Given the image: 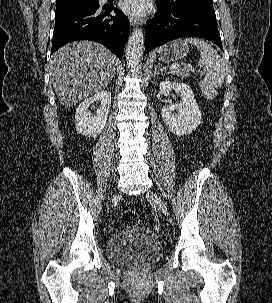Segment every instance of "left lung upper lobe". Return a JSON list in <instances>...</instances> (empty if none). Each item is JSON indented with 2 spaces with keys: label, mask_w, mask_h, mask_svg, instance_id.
<instances>
[{
  "label": "left lung upper lobe",
  "mask_w": 272,
  "mask_h": 303,
  "mask_svg": "<svg viewBox=\"0 0 272 303\" xmlns=\"http://www.w3.org/2000/svg\"><path fill=\"white\" fill-rule=\"evenodd\" d=\"M156 3L166 9H181L188 7L213 9V0H156Z\"/></svg>",
  "instance_id": "left-lung-upper-lobe-1"
}]
</instances>
